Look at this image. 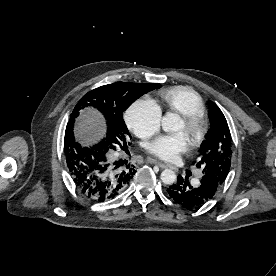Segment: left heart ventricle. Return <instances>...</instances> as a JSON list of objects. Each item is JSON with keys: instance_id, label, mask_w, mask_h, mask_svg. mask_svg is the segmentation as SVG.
<instances>
[{"instance_id": "b2bd125f", "label": "left heart ventricle", "mask_w": 276, "mask_h": 276, "mask_svg": "<svg viewBox=\"0 0 276 276\" xmlns=\"http://www.w3.org/2000/svg\"><path fill=\"white\" fill-rule=\"evenodd\" d=\"M175 132L184 134V136L187 138V140H190V138H191V135H190L189 131L187 130L183 120H180V123H179L178 127L175 129Z\"/></svg>"}]
</instances>
